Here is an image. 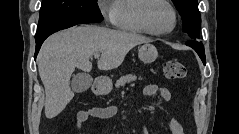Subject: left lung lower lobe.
Wrapping results in <instances>:
<instances>
[{
	"instance_id": "obj_1",
	"label": "left lung lower lobe",
	"mask_w": 239,
	"mask_h": 134,
	"mask_svg": "<svg viewBox=\"0 0 239 134\" xmlns=\"http://www.w3.org/2000/svg\"><path fill=\"white\" fill-rule=\"evenodd\" d=\"M187 45L192 47L198 53L202 62L205 65V53H204V47H203L202 43H199L197 41H189V42H187Z\"/></svg>"
}]
</instances>
